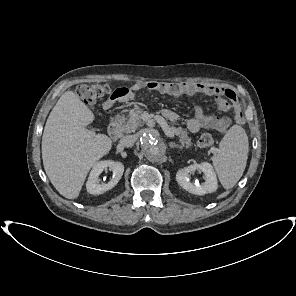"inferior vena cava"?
<instances>
[{
  "label": "inferior vena cava",
  "instance_id": "inferior-vena-cava-1",
  "mask_svg": "<svg viewBox=\"0 0 296 296\" xmlns=\"http://www.w3.org/2000/svg\"><path fill=\"white\" fill-rule=\"evenodd\" d=\"M135 143V137L133 135H126L123 136L120 141L119 145L121 147H131Z\"/></svg>",
  "mask_w": 296,
  "mask_h": 296
}]
</instances>
